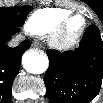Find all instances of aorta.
I'll list each match as a JSON object with an SVG mask.
<instances>
[{"instance_id": "aorta-1", "label": "aorta", "mask_w": 103, "mask_h": 103, "mask_svg": "<svg viewBox=\"0 0 103 103\" xmlns=\"http://www.w3.org/2000/svg\"><path fill=\"white\" fill-rule=\"evenodd\" d=\"M24 69L32 74H41L48 68V58L38 52H26L22 57Z\"/></svg>"}]
</instances>
